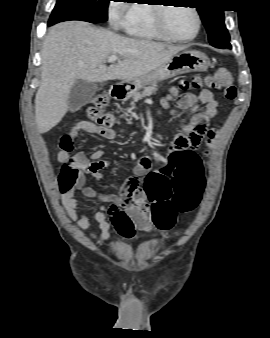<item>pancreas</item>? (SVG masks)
<instances>
[{"label": "pancreas", "mask_w": 270, "mask_h": 338, "mask_svg": "<svg viewBox=\"0 0 270 338\" xmlns=\"http://www.w3.org/2000/svg\"><path fill=\"white\" fill-rule=\"evenodd\" d=\"M157 91V84L151 83L148 87L144 88L143 91H135L132 93L131 97L133 102H137L144 97L153 95Z\"/></svg>", "instance_id": "1"}]
</instances>
